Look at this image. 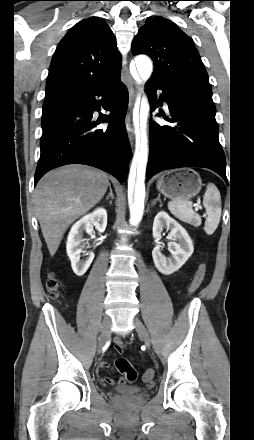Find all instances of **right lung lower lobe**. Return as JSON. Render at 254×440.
<instances>
[{
  "instance_id": "98d812e1",
  "label": "right lung lower lobe",
  "mask_w": 254,
  "mask_h": 440,
  "mask_svg": "<svg viewBox=\"0 0 254 440\" xmlns=\"http://www.w3.org/2000/svg\"><path fill=\"white\" fill-rule=\"evenodd\" d=\"M128 99V90L120 80L82 85L47 97L35 185L49 170L67 164L94 166L124 182L132 154L125 127ZM101 108L110 115L95 118L93 112ZM105 122L107 127L98 128Z\"/></svg>"
}]
</instances>
